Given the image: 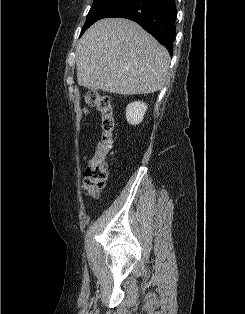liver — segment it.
Listing matches in <instances>:
<instances>
[{
    "instance_id": "6515ba94",
    "label": "liver",
    "mask_w": 245,
    "mask_h": 314,
    "mask_svg": "<svg viewBox=\"0 0 245 314\" xmlns=\"http://www.w3.org/2000/svg\"><path fill=\"white\" fill-rule=\"evenodd\" d=\"M170 55L137 23L101 19L78 41L77 82L91 90L121 95L149 94L167 80Z\"/></svg>"
}]
</instances>
